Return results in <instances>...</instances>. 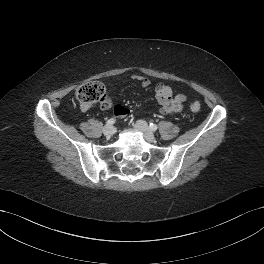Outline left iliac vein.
I'll return each instance as SVG.
<instances>
[{
  "label": "left iliac vein",
  "instance_id": "1",
  "mask_svg": "<svg viewBox=\"0 0 264 264\" xmlns=\"http://www.w3.org/2000/svg\"><path fill=\"white\" fill-rule=\"evenodd\" d=\"M135 128L136 130H138L139 132H141L144 136V138L148 141V142H155L156 138L154 133L150 130L149 126L147 125V123L143 120H138L135 124Z\"/></svg>",
  "mask_w": 264,
  "mask_h": 264
}]
</instances>
